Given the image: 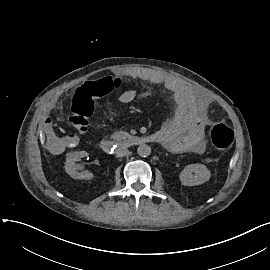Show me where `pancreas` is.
<instances>
[{
    "mask_svg": "<svg viewBox=\"0 0 270 270\" xmlns=\"http://www.w3.org/2000/svg\"><path fill=\"white\" fill-rule=\"evenodd\" d=\"M126 136H127V133H126V132L119 131V132H114V133L111 135V138L114 139V140L120 141V140H122V139H125Z\"/></svg>",
    "mask_w": 270,
    "mask_h": 270,
    "instance_id": "pancreas-1",
    "label": "pancreas"
}]
</instances>
